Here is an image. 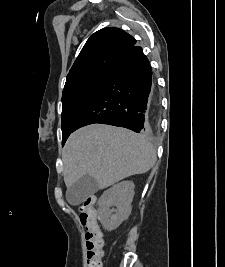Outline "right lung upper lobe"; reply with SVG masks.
Listing matches in <instances>:
<instances>
[{"label": "right lung upper lobe", "mask_w": 225, "mask_h": 267, "mask_svg": "<svg viewBox=\"0 0 225 267\" xmlns=\"http://www.w3.org/2000/svg\"><path fill=\"white\" fill-rule=\"evenodd\" d=\"M135 44L136 40L119 28L108 27L95 32L70 69L65 87L86 77L108 73L117 58Z\"/></svg>", "instance_id": "1"}]
</instances>
